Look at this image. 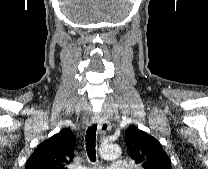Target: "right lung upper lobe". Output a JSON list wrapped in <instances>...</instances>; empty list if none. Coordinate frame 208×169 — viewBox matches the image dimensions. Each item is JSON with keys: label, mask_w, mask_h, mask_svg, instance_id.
<instances>
[{"label": "right lung upper lobe", "mask_w": 208, "mask_h": 169, "mask_svg": "<svg viewBox=\"0 0 208 169\" xmlns=\"http://www.w3.org/2000/svg\"><path fill=\"white\" fill-rule=\"evenodd\" d=\"M74 149V134L69 129H62L37 146L25 169H67L74 158Z\"/></svg>", "instance_id": "1"}]
</instances>
